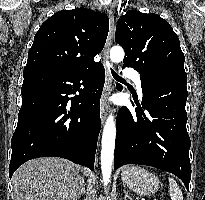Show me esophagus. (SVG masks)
Returning a JSON list of instances; mask_svg holds the SVG:
<instances>
[{"mask_svg": "<svg viewBox=\"0 0 205 200\" xmlns=\"http://www.w3.org/2000/svg\"><path fill=\"white\" fill-rule=\"evenodd\" d=\"M108 17H109V32L108 37L106 41V45L104 48V57H103V63L106 70V80L105 85L103 88L102 96H101V102H100V117L102 123L105 122L108 112V105L107 100L112 90V75L110 72L111 69V63L109 61V51L113 42L114 32H115V23H114V16L112 9L108 10Z\"/></svg>", "mask_w": 205, "mask_h": 200, "instance_id": "esophagus-1", "label": "esophagus"}]
</instances>
